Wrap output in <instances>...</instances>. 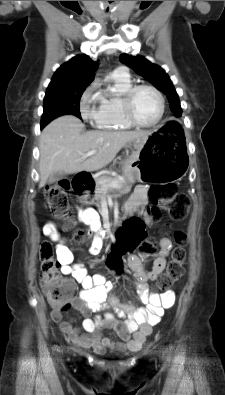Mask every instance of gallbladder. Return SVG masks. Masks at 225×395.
<instances>
[{"mask_svg":"<svg viewBox=\"0 0 225 395\" xmlns=\"http://www.w3.org/2000/svg\"><path fill=\"white\" fill-rule=\"evenodd\" d=\"M63 177L62 173H53L49 176L47 182L48 183H55L59 181Z\"/></svg>","mask_w":225,"mask_h":395,"instance_id":"1","label":"gallbladder"}]
</instances>
